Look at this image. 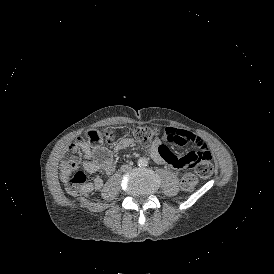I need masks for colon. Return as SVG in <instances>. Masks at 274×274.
Returning <instances> with one entry per match:
<instances>
[{
    "label": "colon",
    "instance_id": "5ec220e1",
    "mask_svg": "<svg viewBox=\"0 0 274 274\" xmlns=\"http://www.w3.org/2000/svg\"><path fill=\"white\" fill-rule=\"evenodd\" d=\"M130 133L143 143L151 142L157 135V131L154 128L148 127H132ZM124 134L125 129L122 127H109L103 133L104 139L101 137V141L114 143ZM97 140L96 134H85L84 137L79 136L74 143L69 145L66 157L60 164L61 175L65 179L67 188L73 193H77L80 189L89 186L87 175L79 168L78 149H92L93 143H96ZM198 181V176L195 173H186L181 178L183 187L188 190L193 189Z\"/></svg>",
    "mask_w": 274,
    "mask_h": 274
}]
</instances>
